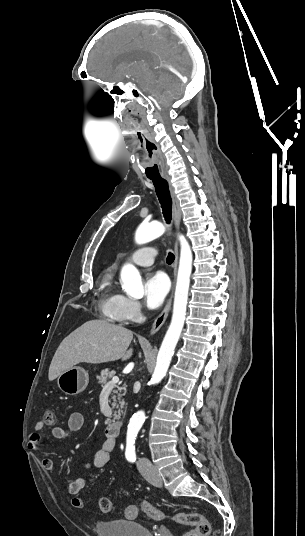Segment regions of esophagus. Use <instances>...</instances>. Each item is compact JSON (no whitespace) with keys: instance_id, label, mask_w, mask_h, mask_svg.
Listing matches in <instances>:
<instances>
[{"instance_id":"1","label":"esophagus","mask_w":305,"mask_h":536,"mask_svg":"<svg viewBox=\"0 0 305 536\" xmlns=\"http://www.w3.org/2000/svg\"><path fill=\"white\" fill-rule=\"evenodd\" d=\"M164 178L167 180L168 185H169V191H170V195H171L172 202H173V217H174V221H175L176 230L179 231L180 222H181V215H182L181 208H180V205H179V200L177 198V195L175 194V190H174L172 182H171V177L166 175V176H164ZM174 248H175V261H174V281H173L172 293H171V296L168 299V301L166 303V306L164 307L163 311L157 316L156 320L154 321V323L152 325V328H151V331H150L151 335H154L162 327V325L165 323L166 318H167L168 313H169V310L171 308L173 290H174V285H175V278H176V273H177L178 256H179L178 240L177 239L175 241Z\"/></svg>"}]
</instances>
